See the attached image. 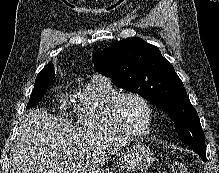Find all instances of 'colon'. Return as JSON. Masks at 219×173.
Segmentation results:
<instances>
[{"instance_id": "colon-1", "label": "colon", "mask_w": 219, "mask_h": 173, "mask_svg": "<svg viewBox=\"0 0 219 173\" xmlns=\"http://www.w3.org/2000/svg\"><path fill=\"white\" fill-rule=\"evenodd\" d=\"M171 172L172 173H187V166L182 161H174L171 164Z\"/></svg>"}]
</instances>
